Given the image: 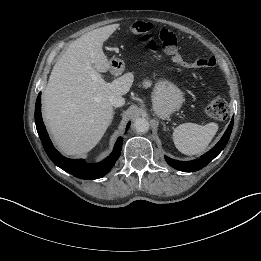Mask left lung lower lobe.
<instances>
[{
	"label": "left lung lower lobe",
	"mask_w": 261,
	"mask_h": 261,
	"mask_svg": "<svg viewBox=\"0 0 261 261\" xmlns=\"http://www.w3.org/2000/svg\"><path fill=\"white\" fill-rule=\"evenodd\" d=\"M233 120L234 117L232 118L226 132L224 133L223 137L220 139V141L206 154L201 156L200 159L196 161H189V162H183V161H178V160H173L167 156H165V159L167 163L172 166L173 168L184 171V172H194L198 171L201 168L205 167L210 161H212L226 146L232 128H233Z\"/></svg>",
	"instance_id": "left-lung-lower-lobe-1"
}]
</instances>
